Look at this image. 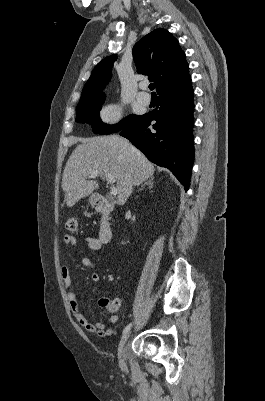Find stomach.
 Listing matches in <instances>:
<instances>
[{
  "mask_svg": "<svg viewBox=\"0 0 265 401\" xmlns=\"http://www.w3.org/2000/svg\"><path fill=\"white\" fill-rule=\"evenodd\" d=\"M91 205H94V198H90Z\"/></svg>",
  "mask_w": 265,
  "mask_h": 401,
  "instance_id": "1",
  "label": "stomach"
}]
</instances>
